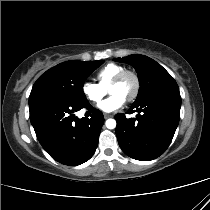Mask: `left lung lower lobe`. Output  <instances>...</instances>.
<instances>
[{
    "label": "left lung lower lobe",
    "mask_w": 210,
    "mask_h": 210,
    "mask_svg": "<svg viewBox=\"0 0 210 210\" xmlns=\"http://www.w3.org/2000/svg\"><path fill=\"white\" fill-rule=\"evenodd\" d=\"M181 97L177 91L151 95L134 103L128 114H116V135L122 151L129 157L149 161L168 148L180 119Z\"/></svg>",
    "instance_id": "0a47b994"
}]
</instances>
